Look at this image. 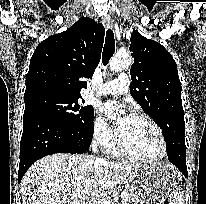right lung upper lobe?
<instances>
[{
  "label": "right lung upper lobe",
  "mask_w": 206,
  "mask_h": 204,
  "mask_svg": "<svg viewBox=\"0 0 206 204\" xmlns=\"http://www.w3.org/2000/svg\"><path fill=\"white\" fill-rule=\"evenodd\" d=\"M105 29L88 17L80 18L72 27L42 41L34 51L26 75L24 97L42 93L81 96L92 77L104 42Z\"/></svg>",
  "instance_id": "right-lung-upper-lobe-1"
}]
</instances>
